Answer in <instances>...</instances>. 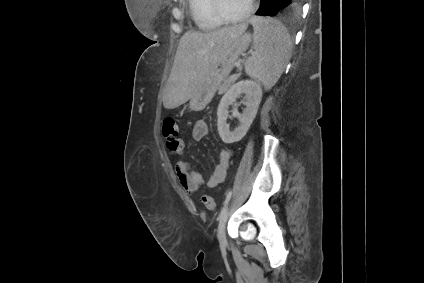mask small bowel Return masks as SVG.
<instances>
[{
	"instance_id": "c3829d8e",
	"label": "small bowel",
	"mask_w": 424,
	"mask_h": 283,
	"mask_svg": "<svg viewBox=\"0 0 424 283\" xmlns=\"http://www.w3.org/2000/svg\"><path fill=\"white\" fill-rule=\"evenodd\" d=\"M208 132L209 128L206 120L204 118L197 119L192 128L193 138L195 140H201L208 134ZM167 147L173 153H180L172 151L171 146L168 144ZM232 156L233 152L231 150H221L219 153L218 163L207 179H204L202 174L198 171L193 170L189 162L182 160L176 163L175 174L181 186L188 193H195L202 185L214 188L225 181Z\"/></svg>"
}]
</instances>
